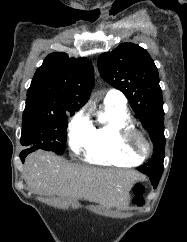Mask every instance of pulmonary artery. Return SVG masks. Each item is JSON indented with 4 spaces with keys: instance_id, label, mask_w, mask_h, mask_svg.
Masks as SVG:
<instances>
[{
    "instance_id": "pulmonary-artery-1",
    "label": "pulmonary artery",
    "mask_w": 187,
    "mask_h": 242,
    "mask_svg": "<svg viewBox=\"0 0 187 242\" xmlns=\"http://www.w3.org/2000/svg\"><path fill=\"white\" fill-rule=\"evenodd\" d=\"M104 103L125 105L126 98L120 91L111 89L107 92Z\"/></svg>"
}]
</instances>
